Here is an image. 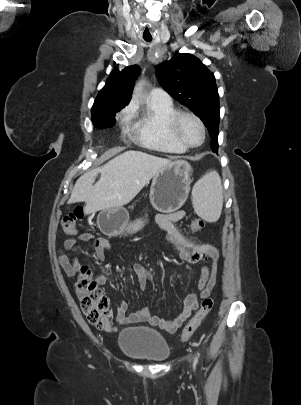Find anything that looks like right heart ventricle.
I'll list each match as a JSON object with an SVG mask.
<instances>
[{"mask_svg": "<svg viewBox=\"0 0 301 405\" xmlns=\"http://www.w3.org/2000/svg\"><path fill=\"white\" fill-rule=\"evenodd\" d=\"M176 112L172 104L149 102L144 112L132 111L128 120L129 132L138 143L148 149L170 154L184 153L187 148L168 129V122Z\"/></svg>", "mask_w": 301, "mask_h": 405, "instance_id": "1", "label": "right heart ventricle"}]
</instances>
